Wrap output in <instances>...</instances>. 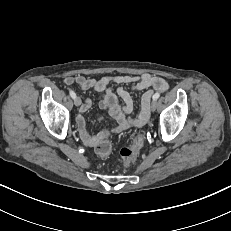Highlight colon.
I'll return each mask as SVG.
<instances>
[{"label":"colon","instance_id":"5ec220e1","mask_svg":"<svg viewBox=\"0 0 231 231\" xmlns=\"http://www.w3.org/2000/svg\"><path fill=\"white\" fill-rule=\"evenodd\" d=\"M144 144L143 134H137L130 146L124 147L120 151V155L125 167H129L136 159L140 149ZM96 151L99 155L107 157L110 155L112 147L108 136H104L96 145Z\"/></svg>","mask_w":231,"mask_h":231}]
</instances>
